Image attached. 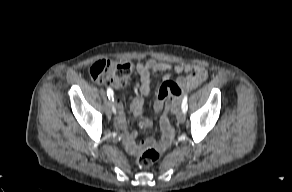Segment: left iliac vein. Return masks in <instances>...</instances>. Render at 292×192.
Segmentation results:
<instances>
[{"label": "left iliac vein", "mask_w": 292, "mask_h": 192, "mask_svg": "<svg viewBox=\"0 0 292 192\" xmlns=\"http://www.w3.org/2000/svg\"><path fill=\"white\" fill-rule=\"evenodd\" d=\"M185 119H186V115H185V113L183 111L180 112V113H178V115H177V121L179 123H184Z\"/></svg>", "instance_id": "obj_1"}]
</instances>
